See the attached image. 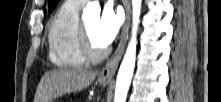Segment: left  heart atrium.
<instances>
[{
    "label": "left heart atrium",
    "instance_id": "obj_1",
    "mask_svg": "<svg viewBox=\"0 0 221 102\" xmlns=\"http://www.w3.org/2000/svg\"><path fill=\"white\" fill-rule=\"evenodd\" d=\"M122 21L123 18L121 12L114 9L112 6L107 5L103 9L96 27L95 36L97 41L102 46L110 44L117 36Z\"/></svg>",
    "mask_w": 221,
    "mask_h": 102
}]
</instances>
